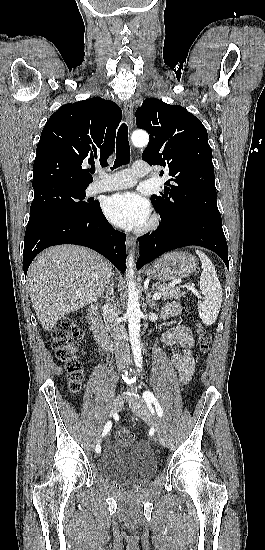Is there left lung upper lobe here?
Segmentation results:
<instances>
[{
	"label": "left lung upper lobe",
	"instance_id": "1",
	"mask_svg": "<svg viewBox=\"0 0 265 550\" xmlns=\"http://www.w3.org/2000/svg\"><path fill=\"white\" fill-rule=\"evenodd\" d=\"M136 124L150 134L142 159L166 166L171 177L163 186L164 193L151 196L161 221L195 214L222 222L212 151L201 121L181 106L149 98L137 109Z\"/></svg>",
	"mask_w": 265,
	"mask_h": 550
}]
</instances>
